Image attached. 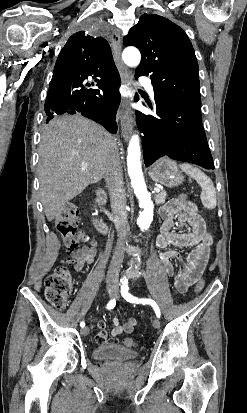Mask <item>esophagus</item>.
Here are the masks:
<instances>
[{
	"mask_svg": "<svg viewBox=\"0 0 247 413\" xmlns=\"http://www.w3.org/2000/svg\"><path fill=\"white\" fill-rule=\"evenodd\" d=\"M111 45L113 48L114 60L119 70L121 80L123 84H128L129 76L127 68L121 60V39L119 30H114L111 35ZM133 111L130 106V100L127 98L123 99L121 106V117H120V126L121 134L125 141H128L129 137L133 131Z\"/></svg>",
	"mask_w": 247,
	"mask_h": 413,
	"instance_id": "esophagus-1",
	"label": "esophagus"
}]
</instances>
